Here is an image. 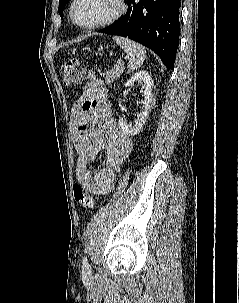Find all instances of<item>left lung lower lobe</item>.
I'll return each instance as SVG.
<instances>
[{
  "label": "left lung lower lobe",
  "mask_w": 239,
  "mask_h": 303,
  "mask_svg": "<svg viewBox=\"0 0 239 303\" xmlns=\"http://www.w3.org/2000/svg\"><path fill=\"white\" fill-rule=\"evenodd\" d=\"M181 0H127L125 16L101 33L128 37L154 51L174 69L179 44Z\"/></svg>",
  "instance_id": "0a47b994"
}]
</instances>
